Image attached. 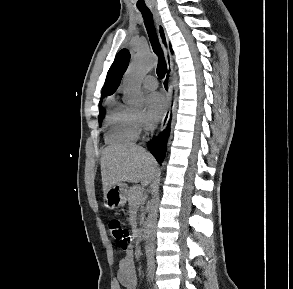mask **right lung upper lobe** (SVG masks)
Wrapping results in <instances>:
<instances>
[{"instance_id":"obj_1","label":"right lung upper lobe","mask_w":293,"mask_h":289,"mask_svg":"<svg viewBox=\"0 0 293 289\" xmlns=\"http://www.w3.org/2000/svg\"><path fill=\"white\" fill-rule=\"evenodd\" d=\"M171 52H173L172 49ZM129 59L130 54L126 49H122L116 55L115 60L108 71L106 81L102 89L101 98L111 95L116 91L120 84L123 73L128 66Z\"/></svg>"}]
</instances>
